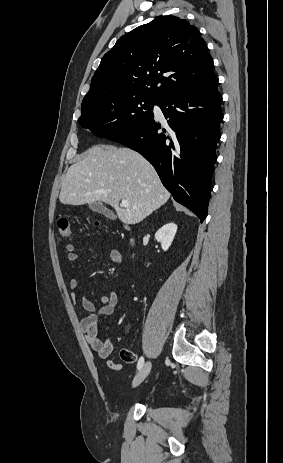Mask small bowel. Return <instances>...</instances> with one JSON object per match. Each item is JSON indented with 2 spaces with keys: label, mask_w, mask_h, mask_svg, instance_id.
<instances>
[{
  "label": "small bowel",
  "mask_w": 283,
  "mask_h": 463,
  "mask_svg": "<svg viewBox=\"0 0 283 463\" xmlns=\"http://www.w3.org/2000/svg\"><path fill=\"white\" fill-rule=\"evenodd\" d=\"M66 250L68 261L72 263L76 262L78 260V254L75 247L72 244H67ZM110 258L113 262L119 263L121 261V254L117 249H112L110 251ZM69 287L72 290L71 300L75 303L78 300L77 290L79 288V281L77 279H71L69 281ZM80 303L82 308L89 313L81 320V328L84 332L86 342L97 353L100 359L106 360L109 369L114 371L121 370V364L110 358L113 351L112 341L110 339L103 341L97 337L100 321L115 312L118 306V296L115 293L104 295L101 298V305L99 307L86 297H81Z\"/></svg>",
  "instance_id": "small-bowel-1"
}]
</instances>
